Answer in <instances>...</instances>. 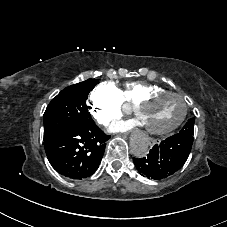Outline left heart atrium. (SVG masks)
I'll use <instances>...</instances> for the list:
<instances>
[{
	"mask_svg": "<svg viewBox=\"0 0 227 227\" xmlns=\"http://www.w3.org/2000/svg\"><path fill=\"white\" fill-rule=\"evenodd\" d=\"M135 126L134 122L131 121H125V122H116L112 124L109 128L110 131L112 132H129L132 130Z\"/></svg>",
	"mask_w": 227,
	"mask_h": 227,
	"instance_id": "39dd6f15",
	"label": "left heart atrium"
}]
</instances>
